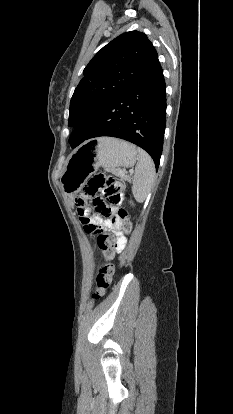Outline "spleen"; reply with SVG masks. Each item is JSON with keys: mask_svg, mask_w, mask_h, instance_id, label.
Listing matches in <instances>:
<instances>
[{"mask_svg": "<svg viewBox=\"0 0 233 414\" xmlns=\"http://www.w3.org/2000/svg\"><path fill=\"white\" fill-rule=\"evenodd\" d=\"M138 162L133 177L132 193L138 202H143L155 182V165L150 155L138 148Z\"/></svg>", "mask_w": 233, "mask_h": 414, "instance_id": "spleen-1", "label": "spleen"}]
</instances>
